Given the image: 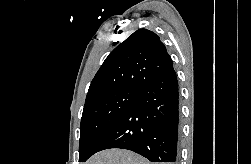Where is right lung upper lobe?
Segmentation results:
<instances>
[{
	"label": "right lung upper lobe",
	"instance_id": "cb5924a9",
	"mask_svg": "<svg viewBox=\"0 0 251 164\" xmlns=\"http://www.w3.org/2000/svg\"><path fill=\"white\" fill-rule=\"evenodd\" d=\"M173 67L158 35L139 29L105 59L92 80L86 101L117 89L140 88Z\"/></svg>",
	"mask_w": 251,
	"mask_h": 164
}]
</instances>
